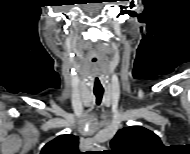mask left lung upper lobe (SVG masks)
Masks as SVG:
<instances>
[{
    "label": "left lung upper lobe",
    "instance_id": "5c2ea615",
    "mask_svg": "<svg viewBox=\"0 0 190 154\" xmlns=\"http://www.w3.org/2000/svg\"><path fill=\"white\" fill-rule=\"evenodd\" d=\"M110 145V154H155L164 147L154 132L142 126L119 130Z\"/></svg>",
    "mask_w": 190,
    "mask_h": 154
}]
</instances>
